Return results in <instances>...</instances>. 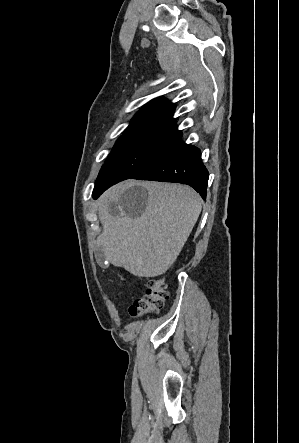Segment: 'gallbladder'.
I'll return each instance as SVG.
<instances>
[{"mask_svg":"<svg viewBox=\"0 0 299 443\" xmlns=\"http://www.w3.org/2000/svg\"><path fill=\"white\" fill-rule=\"evenodd\" d=\"M95 257L98 263L103 264L104 261V248L102 246H97L95 250Z\"/></svg>","mask_w":299,"mask_h":443,"instance_id":"obj_1","label":"gallbladder"}]
</instances>
